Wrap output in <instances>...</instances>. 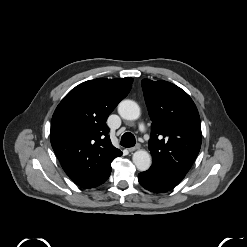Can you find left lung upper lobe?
I'll list each match as a JSON object with an SVG mask.
<instances>
[{
  "label": "left lung upper lobe",
  "mask_w": 247,
  "mask_h": 247,
  "mask_svg": "<svg viewBox=\"0 0 247 247\" xmlns=\"http://www.w3.org/2000/svg\"><path fill=\"white\" fill-rule=\"evenodd\" d=\"M142 89L152 120L150 168L180 182L201 147V123L196 105L184 90L167 81L143 79Z\"/></svg>",
  "instance_id": "5c2ea615"
}]
</instances>
